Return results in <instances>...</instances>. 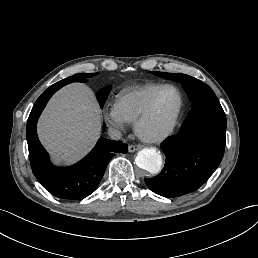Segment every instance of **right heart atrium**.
<instances>
[{"instance_id": "1", "label": "right heart atrium", "mask_w": 258, "mask_h": 258, "mask_svg": "<svg viewBox=\"0 0 258 258\" xmlns=\"http://www.w3.org/2000/svg\"><path fill=\"white\" fill-rule=\"evenodd\" d=\"M104 119L109 126L117 127L120 129L124 128L127 123L116 105L108 106L104 110Z\"/></svg>"}]
</instances>
